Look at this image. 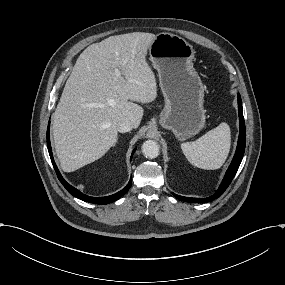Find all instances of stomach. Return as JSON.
<instances>
[{
	"instance_id": "0dacf381",
	"label": "stomach",
	"mask_w": 285,
	"mask_h": 285,
	"mask_svg": "<svg viewBox=\"0 0 285 285\" xmlns=\"http://www.w3.org/2000/svg\"><path fill=\"white\" fill-rule=\"evenodd\" d=\"M149 52L165 98L159 124L184 141L196 135L205 124L204 86L192 65L195 51L181 37L161 33Z\"/></svg>"
}]
</instances>
